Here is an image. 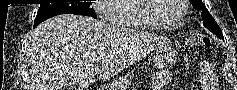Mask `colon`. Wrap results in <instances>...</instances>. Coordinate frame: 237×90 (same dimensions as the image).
I'll return each mask as SVG.
<instances>
[{
  "label": "colon",
  "instance_id": "obj_1",
  "mask_svg": "<svg viewBox=\"0 0 237 90\" xmlns=\"http://www.w3.org/2000/svg\"><path fill=\"white\" fill-rule=\"evenodd\" d=\"M189 42L192 45H201V46H206V47H209L211 45L210 37L199 32L194 33L190 37Z\"/></svg>",
  "mask_w": 237,
  "mask_h": 90
}]
</instances>
